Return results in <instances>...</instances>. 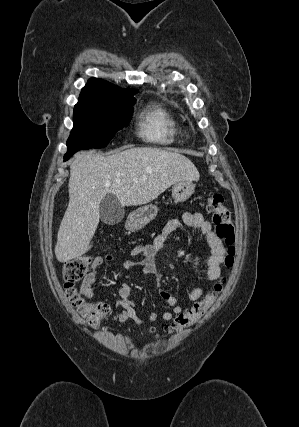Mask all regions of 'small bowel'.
Wrapping results in <instances>:
<instances>
[{
    "label": "small bowel",
    "mask_w": 299,
    "mask_h": 427,
    "mask_svg": "<svg viewBox=\"0 0 299 427\" xmlns=\"http://www.w3.org/2000/svg\"><path fill=\"white\" fill-rule=\"evenodd\" d=\"M182 223L198 229L206 238L210 248V255L205 266L206 277L209 281L219 279L221 275V264L223 263L226 249L213 231L211 223L207 221L200 212H185L180 218H174L168 221L151 243L138 244L131 250V259L123 263V268L126 270L139 268L142 273L153 276L156 283L159 285L161 272L158 266L157 256L164 248L168 238ZM111 260H113V256L109 254L97 256L93 259L91 270L84 277L80 287L81 294L85 298L93 299L95 297L93 285L98 279V269L106 261ZM118 294L119 301L117 302V307L120 309V313L114 316V321L123 323L127 320H132L137 325H144L145 323L152 324L158 321L159 315L156 312H150L146 319L137 316L134 302L130 299L131 286L128 283H123L120 286ZM202 295L203 289L201 287H196L191 290L188 297L191 302H196ZM160 296L171 307V310L164 312L161 317L164 321H171L182 311L179 305V299L165 290L160 291Z\"/></svg>",
    "instance_id": "1"
}]
</instances>
